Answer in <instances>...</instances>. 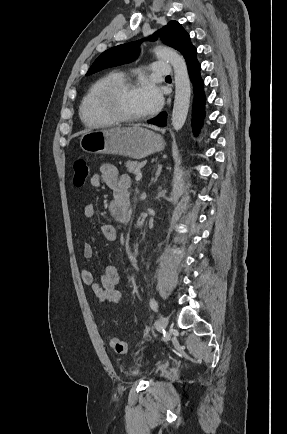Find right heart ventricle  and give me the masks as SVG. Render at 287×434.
Wrapping results in <instances>:
<instances>
[{"label": "right heart ventricle", "instance_id": "right-heart-ventricle-1", "mask_svg": "<svg viewBox=\"0 0 287 434\" xmlns=\"http://www.w3.org/2000/svg\"><path fill=\"white\" fill-rule=\"evenodd\" d=\"M123 80L124 77L120 72H110L89 87L79 106V115L84 124L91 127H105L115 123L100 110L98 96L107 85Z\"/></svg>", "mask_w": 287, "mask_h": 434}]
</instances>
